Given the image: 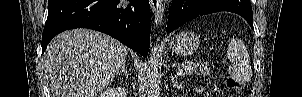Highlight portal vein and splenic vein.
<instances>
[{
    "label": "portal vein and splenic vein",
    "mask_w": 302,
    "mask_h": 97,
    "mask_svg": "<svg viewBox=\"0 0 302 97\" xmlns=\"http://www.w3.org/2000/svg\"><path fill=\"white\" fill-rule=\"evenodd\" d=\"M183 70L182 69H178L177 74H182Z\"/></svg>",
    "instance_id": "portal-vein-and-splenic-vein-1"
}]
</instances>
